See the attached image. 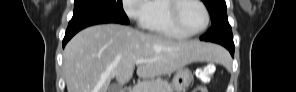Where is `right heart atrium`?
<instances>
[{
  "mask_svg": "<svg viewBox=\"0 0 296 92\" xmlns=\"http://www.w3.org/2000/svg\"><path fill=\"white\" fill-rule=\"evenodd\" d=\"M124 10L129 19L143 24L148 16L149 1L147 0H124Z\"/></svg>",
  "mask_w": 296,
  "mask_h": 92,
  "instance_id": "1",
  "label": "right heart atrium"
}]
</instances>
